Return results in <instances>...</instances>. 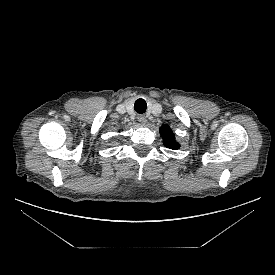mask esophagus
Returning a JSON list of instances; mask_svg holds the SVG:
<instances>
[{"label": "esophagus", "mask_w": 275, "mask_h": 275, "mask_svg": "<svg viewBox=\"0 0 275 275\" xmlns=\"http://www.w3.org/2000/svg\"><path fill=\"white\" fill-rule=\"evenodd\" d=\"M137 119H138V121H139L141 124H143V125H145V124L147 123V118H146L145 115H139V116L137 117Z\"/></svg>", "instance_id": "1"}]
</instances>
